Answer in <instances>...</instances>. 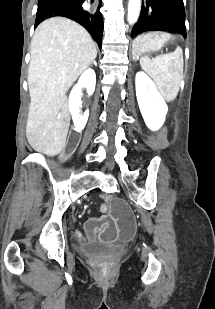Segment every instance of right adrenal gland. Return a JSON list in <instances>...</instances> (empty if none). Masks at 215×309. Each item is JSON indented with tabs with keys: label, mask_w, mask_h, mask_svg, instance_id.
Listing matches in <instances>:
<instances>
[{
	"label": "right adrenal gland",
	"mask_w": 215,
	"mask_h": 309,
	"mask_svg": "<svg viewBox=\"0 0 215 309\" xmlns=\"http://www.w3.org/2000/svg\"><path fill=\"white\" fill-rule=\"evenodd\" d=\"M93 64H95V66H97V62H96V60H94Z\"/></svg>",
	"instance_id": "1"
}]
</instances>
